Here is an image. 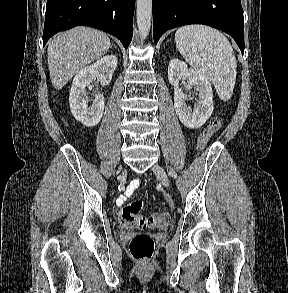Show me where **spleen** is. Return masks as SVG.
<instances>
[{
  "label": "spleen",
  "mask_w": 288,
  "mask_h": 293,
  "mask_svg": "<svg viewBox=\"0 0 288 293\" xmlns=\"http://www.w3.org/2000/svg\"><path fill=\"white\" fill-rule=\"evenodd\" d=\"M175 42L183 58L214 84L218 96L230 99L237 62L228 39L211 27L187 25L176 31Z\"/></svg>",
  "instance_id": "spleen-1"
}]
</instances>
